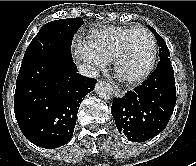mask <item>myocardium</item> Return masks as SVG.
Instances as JSON below:
<instances>
[{
  "label": "myocardium",
  "mask_w": 196,
  "mask_h": 166,
  "mask_svg": "<svg viewBox=\"0 0 196 166\" xmlns=\"http://www.w3.org/2000/svg\"><path fill=\"white\" fill-rule=\"evenodd\" d=\"M137 32H144L148 35V37L150 38V42H151V57L149 60V63L147 64V66L138 74L130 76V77H126L123 76L121 74L120 71V66L121 63L123 61V59L125 58L127 52H128V48H129V42L132 38V36L137 33ZM157 54H158V49H157V42L156 39L153 35V33L148 30L147 28L144 27H137L134 28L130 33H128L126 35V37L123 40V43L121 45L120 50L118 51L116 57L114 58L113 62V68H114V72L115 75L117 76V78L123 82L126 83H137L140 82L142 80H144L154 69L155 65H156V61H157Z\"/></svg>",
  "instance_id": "myocardium-1"
}]
</instances>
